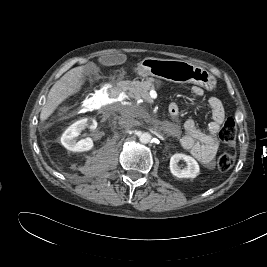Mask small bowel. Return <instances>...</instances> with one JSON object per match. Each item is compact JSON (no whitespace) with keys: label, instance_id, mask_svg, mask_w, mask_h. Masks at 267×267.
<instances>
[{"label":"small bowel","instance_id":"c3829d8e","mask_svg":"<svg viewBox=\"0 0 267 267\" xmlns=\"http://www.w3.org/2000/svg\"><path fill=\"white\" fill-rule=\"evenodd\" d=\"M203 94L202 88L197 86L191 88L193 97L198 98ZM208 106L212 117V121L208 125V132L198 129L193 119H187L184 123L185 135L181 139V144L200 163L207 168H212L219 148L217 133L225 119V111L221 101L216 97H211L208 100ZM169 108L178 114L179 106L176 102L171 103Z\"/></svg>","mask_w":267,"mask_h":267}]
</instances>
